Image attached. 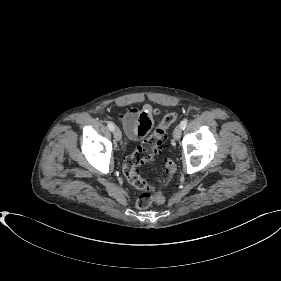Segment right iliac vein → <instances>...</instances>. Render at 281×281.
<instances>
[{
    "label": "right iliac vein",
    "instance_id": "right-iliac-vein-1",
    "mask_svg": "<svg viewBox=\"0 0 281 281\" xmlns=\"http://www.w3.org/2000/svg\"><path fill=\"white\" fill-rule=\"evenodd\" d=\"M113 135H114V138H115L116 141H118V142L121 141L122 134H121V131L118 128L114 129Z\"/></svg>",
    "mask_w": 281,
    "mask_h": 281
}]
</instances>
